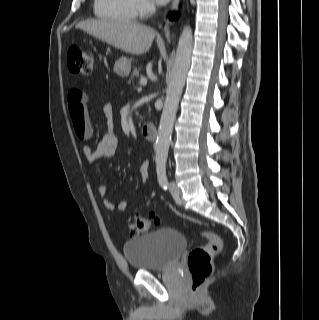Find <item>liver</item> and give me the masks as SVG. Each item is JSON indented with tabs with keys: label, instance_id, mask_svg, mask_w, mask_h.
<instances>
[{
	"label": "liver",
	"instance_id": "6515ba94",
	"mask_svg": "<svg viewBox=\"0 0 319 320\" xmlns=\"http://www.w3.org/2000/svg\"><path fill=\"white\" fill-rule=\"evenodd\" d=\"M76 28L133 55L147 52L155 37L152 28L128 20L90 19Z\"/></svg>",
	"mask_w": 319,
	"mask_h": 320
}]
</instances>
